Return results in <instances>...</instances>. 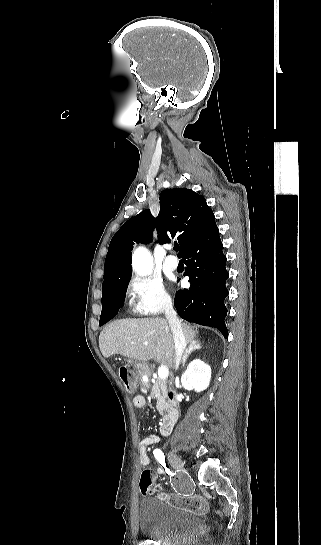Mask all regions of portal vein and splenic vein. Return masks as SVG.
Listing matches in <instances>:
<instances>
[{"label":"portal vein and splenic vein","mask_w":321,"mask_h":545,"mask_svg":"<svg viewBox=\"0 0 321 545\" xmlns=\"http://www.w3.org/2000/svg\"><path fill=\"white\" fill-rule=\"evenodd\" d=\"M144 345H148V343H144ZM169 375V371L166 367V365H161L158 369V377L159 379H167Z\"/></svg>","instance_id":"obj_1"}]
</instances>
